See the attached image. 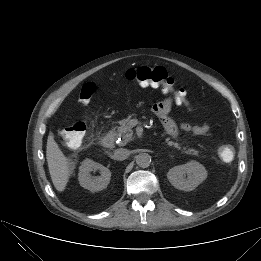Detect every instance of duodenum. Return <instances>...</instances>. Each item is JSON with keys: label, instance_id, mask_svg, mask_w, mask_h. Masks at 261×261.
I'll use <instances>...</instances> for the list:
<instances>
[{"label": "duodenum", "instance_id": "duodenum-1", "mask_svg": "<svg viewBox=\"0 0 261 261\" xmlns=\"http://www.w3.org/2000/svg\"><path fill=\"white\" fill-rule=\"evenodd\" d=\"M101 143L105 148H111L114 145V134L107 132L103 135Z\"/></svg>", "mask_w": 261, "mask_h": 261}]
</instances>
